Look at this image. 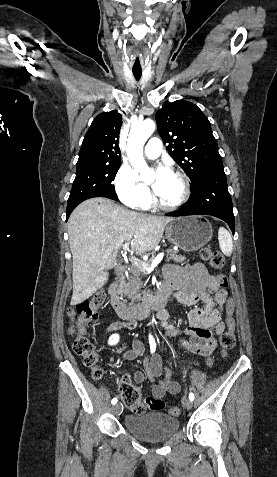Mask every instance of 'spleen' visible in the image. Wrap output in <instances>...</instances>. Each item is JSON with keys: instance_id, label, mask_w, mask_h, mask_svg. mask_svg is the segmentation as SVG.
<instances>
[{"instance_id": "1", "label": "spleen", "mask_w": 277, "mask_h": 477, "mask_svg": "<svg viewBox=\"0 0 277 477\" xmlns=\"http://www.w3.org/2000/svg\"><path fill=\"white\" fill-rule=\"evenodd\" d=\"M218 240L220 249L226 256H231L233 250V241L231 234L223 227L218 230Z\"/></svg>"}]
</instances>
